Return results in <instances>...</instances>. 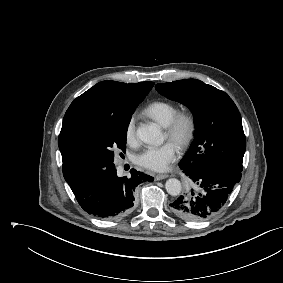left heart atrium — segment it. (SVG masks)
I'll list each match as a JSON object with an SVG mask.
<instances>
[{
    "label": "left heart atrium",
    "mask_w": 283,
    "mask_h": 283,
    "mask_svg": "<svg viewBox=\"0 0 283 283\" xmlns=\"http://www.w3.org/2000/svg\"><path fill=\"white\" fill-rule=\"evenodd\" d=\"M179 154L177 145L167 142L161 146H148L136 157V162L140 166L152 171L167 170Z\"/></svg>",
    "instance_id": "obj_1"
}]
</instances>
